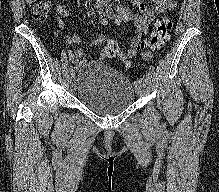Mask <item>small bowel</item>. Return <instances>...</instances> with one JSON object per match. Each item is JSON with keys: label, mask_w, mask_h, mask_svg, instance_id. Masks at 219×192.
<instances>
[{"label": "small bowel", "mask_w": 219, "mask_h": 192, "mask_svg": "<svg viewBox=\"0 0 219 192\" xmlns=\"http://www.w3.org/2000/svg\"><path fill=\"white\" fill-rule=\"evenodd\" d=\"M131 3L140 11V15H136L132 9L125 7L117 8V17L127 21L132 22L136 28V37L133 43L139 42V38L141 35H147L149 32L150 25L157 18L158 14L172 11L176 8L175 0H150L152 3L151 7L145 6L143 0H130ZM95 9L101 13L104 18H112L114 15L111 13H107L104 15V12L101 10L100 3L95 5ZM55 11L57 15V24L61 30H65V25L63 19H67L69 17L68 9L60 2L55 4ZM104 36H97L91 42L90 46L95 47L105 42ZM65 41L67 44H78L82 42V38L79 36H66ZM151 53L145 54L144 58L149 59ZM68 57L71 62L75 63L76 66H81L87 62L85 58V51L83 49H76L69 51Z\"/></svg>", "instance_id": "small-bowel-1"}]
</instances>
